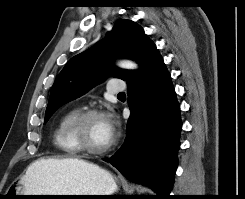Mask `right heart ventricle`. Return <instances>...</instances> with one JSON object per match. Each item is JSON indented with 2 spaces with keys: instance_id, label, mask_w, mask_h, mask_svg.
Here are the masks:
<instances>
[{
  "instance_id": "e07e8e85",
  "label": "right heart ventricle",
  "mask_w": 245,
  "mask_h": 199,
  "mask_svg": "<svg viewBox=\"0 0 245 199\" xmlns=\"http://www.w3.org/2000/svg\"><path fill=\"white\" fill-rule=\"evenodd\" d=\"M78 112L79 111L77 109H71L67 111L61 117L59 123L54 130V143L56 147L67 156H75L80 152L79 149L75 146L69 133L70 123L73 118L78 114Z\"/></svg>"
}]
</instances>
